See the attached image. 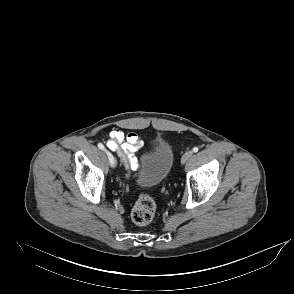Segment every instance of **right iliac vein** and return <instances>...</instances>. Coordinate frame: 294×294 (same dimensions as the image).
<instances>
[{
  "label": "right iliac vein",
  "mask_w": 294,
  "mask_h": 294,
  "mask_svg": "<svg viewBox=\"0 0 294 294\" xmlns=\"http://www.w3.org/2000/svg\"><path fill=\"white\" fill-rule=\"evenodd\" d=\"M116 160H115V158H114V163L111 165L112 167H115L116 166Z\"/></svg>",
  "instance_id": "63e3f726"
}]
</instances>
